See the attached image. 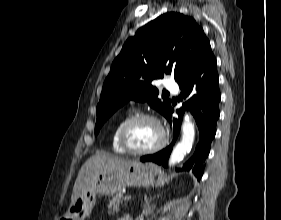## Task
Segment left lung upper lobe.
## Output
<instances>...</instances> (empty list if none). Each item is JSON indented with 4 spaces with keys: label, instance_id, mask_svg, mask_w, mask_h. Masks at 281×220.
Returning <instances> with one entry per match:
<instances>
[{
    "label": "left lung upper lobe",
    "instance_id": "left-lung-upper-lobe-1",
    "mask_svg": "<svg viewBox=\"0 0 281 220\" xmlns=\"http://www.w3.org/2000/svg\"><path fill=\"white\" fill-rule=\"evenodd\" d=\"M210 47L196 21L180 13L163 14L141 27L124 43L112 63L97 105L95 134L105 121L129 100L147 101L167 118L171 101L157 98L151 85L164 75L177 82L188 71L194 57Z\"/></svg>",
    "mask_w": 281,
    "mask_h": 220
}]
</instances>
